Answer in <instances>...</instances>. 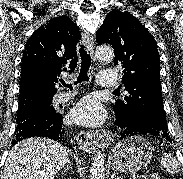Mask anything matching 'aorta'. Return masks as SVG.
Returning a JSON list of instances; mask_svg holds the SVG:
<instances>
[{
    "mask_svg": "<svg viewBox=\"0 0 183 179\" xmlns=\"http://www.w3.org/2000/svg\"><path fill=\"white\" fill-rule=\"evenodd\" d=\"M96 56L99 60L112 61L114 51L111 47L99 46L96 50ZM90 179H105V159L102 153L95 155L91 168Z\"/></svg>",
    "mask_w": 183,
    "mask_h": 179,
    "instance_id": "obj_1",
    "label": "aorta"
}]
</instances>
